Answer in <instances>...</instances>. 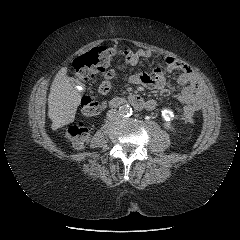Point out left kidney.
Here are the masks:
<instances>
[{"mask_svg":"<svg viewBox=\"0 0 240 240\" xmlns=\"http://www.w3.org/2000/svg\"><path fill=\"white\" fill-rule=\"evenodd\" d=\"M162 116H163L164 120L166 121V123L164 124V127L166 129H171V123H170V121L172 120L171 111L168 109H164L162 111Z\"/></svg>","mask_w":240,"mask_h":240,"instance_id":"5707ae66","label":"left kidney"}]
</instances>
